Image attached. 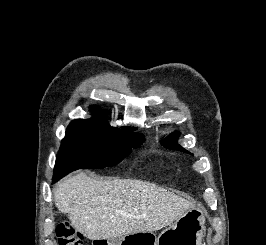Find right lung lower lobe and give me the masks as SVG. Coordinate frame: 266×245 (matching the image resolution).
Instances as JSON below:
<instances>
[{"instance_id": "right-lung-lower-lobe-1", "label": "right lung lower lobe", "mask_w": 266, "mask_h": 245, "mask_svg": "<svg viewBox=\"0 0 266 245\" xmlns=\"http://www.w3.org/2000/svg\"><path fill=\"white\" fill-rule=\"evenodd\" d=\"M59 179H60L59 177L54 176L52 182L55 183V182H56L57 180H59Z\"/></svg>"}]
</instances>
